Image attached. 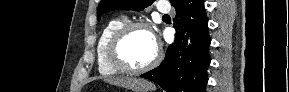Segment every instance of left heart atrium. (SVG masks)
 Segmentation results:
<instances>
[{
  "label": "left heart atrium",
  "instance_id": "left-heart-atrium-1",
  "mask_svg": "<svg viewBox=\"0 0 289 92\" xmlns=\"http://www.w3.org/2000/svg\"><path fill=\"white\" fill-rule=\"evenodd\" d=\"M151 35H152L154 42L156 43V39H155L154 35L152 33H151Z\"/></svg>",
  "mask_w": 289,
  "mask_h": 92
}]
</instances>
